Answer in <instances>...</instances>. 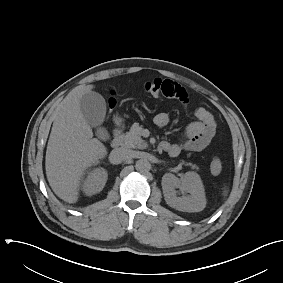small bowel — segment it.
I'll return each mask as SVG.
<instances>
[{
	"mask_svg": "<svg viewBox=\"0 0 283 283\" xmlns=\"http://www.w3.org/2000/svg\"><path fill=\"white\" fill-rule=\"evenodd\" d=\"M160 95L177 99L185 104L189 101L186 90L170 79L162 80V92ZM193 115L195 121L185 129L183 140L177 143L163 141L161 143L162 150L171 156H177L182 151H201L212 142L216 134V121L213 115L202 107L196 108ZM154 123L158 127H165L169 123L168 114L165 112L156 114Z\"/></svg>",
	"mask_w": 283,
	"mask_h": 283,
	"instance_id": "c3829d8e",
	"label": "small bowel"
}]
</instances>
